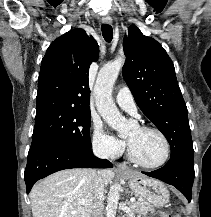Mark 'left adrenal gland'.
Here are the masks:
<instances>
[{
    "mask_svg": "<svg viewBox=\"0 0 211 217\" xmlns=\"http://www.w3.org/2000/svg\"><path fill=\"white\" fill-rule=\"evenodd\" d=\"M129 210L132 209V205L130 202H127Z\"/></svg>",
    "mask_w": 211,
    "mask_h": 217,
    "instance_id": "a2214340",
    "label": "left adrenal gland"
}]
</instances>
